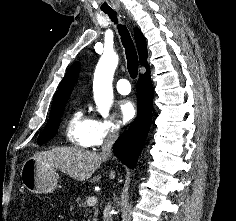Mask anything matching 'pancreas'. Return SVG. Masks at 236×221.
I'll return each instance as SVG.
<instances>
[{"label":"pancreas","mask_w":236,"mask_h":221,"mask_svg":"<svg viewBox=\"0 0 236 221\" xmlns=\"http://www.w3.org/2000/svg\"><path fill=\"white\" fill-rule=\"evenodd\" d=\"M75 207L77 209H75ZM82 208L85 211V215L88 216L87 221H97L98 208L94 207L93 211L90 210L87 207L86 203L83 200H81V198H77L75 200V203L70 206V209L75 210V212H79ZM92 212L94 213L93 215H92ZM80 215H82V213ZM82 221H85V220L83 219Z\"/></svg>","instance_id":"1"}]
</instances>
